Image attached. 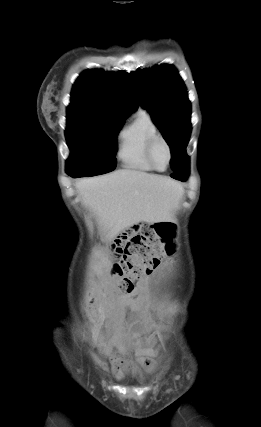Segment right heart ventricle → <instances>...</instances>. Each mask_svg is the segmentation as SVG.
<instances>
[{
  "label": "right heart ventricle",
  "instance_id": "1",
  "mask_svg": "<svg viewBox=\"0 0 261 427\" xmlns=\"http://www.w3.org/2000/svg\"><path fill=\"white\" fill-rule=\"evenodd\" d=\"M159 134L150 114L139 110L118 134L117 157L125 168L151 172L153 167L146 156L147 144L151 137Z\"/></svg>",
  "mask_w": 261,
  "mask_h": 427
}]
</instances>
